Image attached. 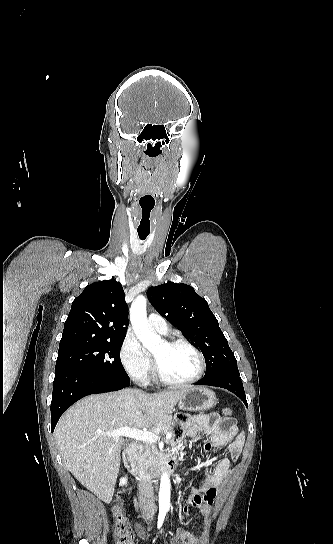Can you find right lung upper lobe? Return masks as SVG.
<instances>
[{
    "mask_svg": "<svg viewBox=\"0 0 333 544\" xmlns=\"http://www.w3.org/2000/svg\"><path fill=\"white\" fill-rule=\"evenodd\" d=\"M116 280L94 282L74 299L59 348L126 336L128 307Z\"/></svg>",
    "mask_w": 333,
    "mask_h": 544,
    "instance_id": "1",
    "label": "right lung upper lobe"
}]
</instances>
